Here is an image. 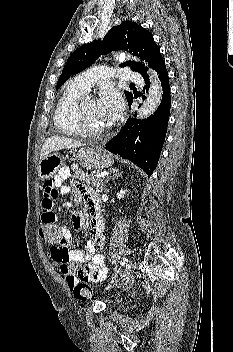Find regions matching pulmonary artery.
I'll list each match as a JSON object with an SVG mask.
<instances>
[{
  "mask_svg": "<svg viewBox=\"0 0 233 352\" xmlns=\"http://www.w3.org/2000/svg\"><path fill=\"white\" fill-rule=\"evenodd\" d=\"M117 76L123 81L142 83V76L129 68L113 69L105 66H98L86 70L74 78V82L86 91H89L93 84L101 79H109Z\"/></svg>",
  "mask_w": 233,
  "mask_h": 352,
  "instance_id": "1",
  "label": "pulmonary artery"
}]
</instances>
